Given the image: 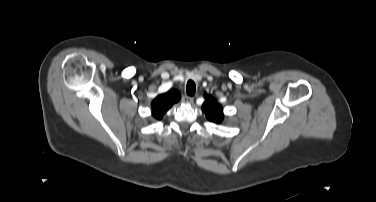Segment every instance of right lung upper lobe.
Wrapping results in <instances>:
<instances>
[{"label":"right lung upper lobe","instance_id":"cb5924a9","mask_svg":"<svg viewBox=\"0 0 376 202\" xmlns=\"http://www.w3.org/2000/svg\"><path fill=\"white\" fill-rule=\"evenodd\" d=\"M180 97V93L175 89L158 95L151 104L153 117L158 120L161 119L172 105L180 100Z\"/></svg>","mask_w":376,"mask_h":202}]
</instances>
